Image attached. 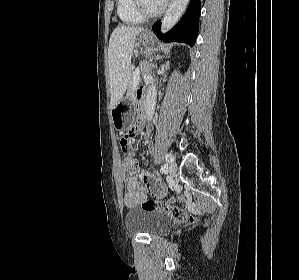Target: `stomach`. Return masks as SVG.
<instances>
[{"label":"stomach","instance_id":"0dacf381","mask_svg":"<svg viewBox=\"0 0 299 280\" xmlns=\"http://www.w3.org/2000/svg\"><path fill=\"white\" fill-rule=\"evenodd\" d=\"M153 41V35L148 31L141 33L139 37V42L144 46L151 45ZM126 106L130 107V99L123 98L112 110L113 124L117 129L127 128L132 121L131 112L125 109Z\"/></svg>","mask_w":299,"mask_h":280}]
</instances>
